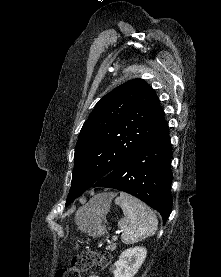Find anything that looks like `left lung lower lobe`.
I'll return each mask as SVG.
<instances>
[{"label": "left lung lower lobe", "mask_w": 221, "mask_h": 277, "mask_svg": "<svg viewBox=\"0 0 221 277\" xmlns=\"http://www.w3.org/2000/svg\"><path fill=\"white\" fill-rule=\"evenodd\" d=\"M171 158L166 122L92 188H114L127 192L157 210L165 224L172 208Z\"/></svg>", "instance_id": "1"}]
</instances>
